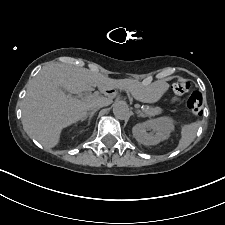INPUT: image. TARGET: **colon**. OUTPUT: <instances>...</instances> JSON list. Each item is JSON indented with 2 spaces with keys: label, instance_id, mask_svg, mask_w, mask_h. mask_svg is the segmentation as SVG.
<instances>
[{
  "label": "colon",
  "instance_id": "colon-1",
  "mask_svg": "<svg viewBox=\"0 0 225 225\" xmlns=\"http://www.w3.org/2000/svg\"><path fill=\"white\" fill-rule=\"evenodd\" d=\"M190 88V83L187 80L179 79L173 84V92L176 95L186 93ZM187 107L191 113L197 115L203 108V97L199 92H193L187 101Z\"/></svg>",
  "mask_w": 225,
  "mask_h": 225
}]
</instances>
